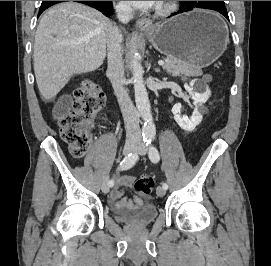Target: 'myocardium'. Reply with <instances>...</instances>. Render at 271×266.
<instances>
[{
	"instance_id": "myocardium-1",
	"label": "myocardium",
	"mask_w": 271,
	"mask_h": 266,
	"mask_svg": "<svg viewBox=\"0 0 271 266\" xmlns=\"http://www.w3.org/2000/svg\"><path fill=\"white\" fill-rule=\"evenodd\" d=\"M175 7L174 1H161L156 12L160 16H166L172 13L175 10Z\"/></svg>"
}]
</instances>
